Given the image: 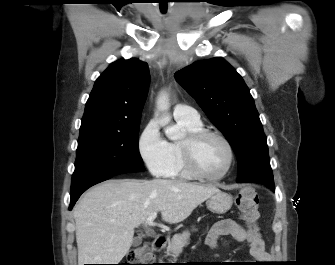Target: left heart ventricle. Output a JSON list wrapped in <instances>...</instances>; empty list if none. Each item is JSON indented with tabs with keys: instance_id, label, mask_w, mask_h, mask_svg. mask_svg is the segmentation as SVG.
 Wrapping results in <instances>:
<instances>
[{
	"instance_id": "b2bd125f",
	"label": "left heart ventricle",
	"mask_w": 335,
	"mask_h": 265,
	"mask_svg": "<svg viewBox=\"0 0 335 265\" xmlns=\"http://www.w3.org/2000/svg\"><path fill=\"white\" fill-rule=\"evenodd\" d=\"M228 150L224 143L215 137H209L201 142L196 150V161L207 175H218L228 163Z\"/></svg>"
}]
</instances>
